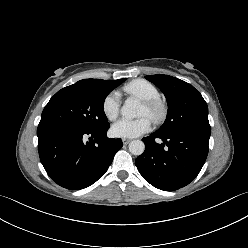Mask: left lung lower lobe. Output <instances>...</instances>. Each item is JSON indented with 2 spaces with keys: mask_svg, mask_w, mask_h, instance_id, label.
I'll return each mask as SVG.
<instances>
[{
  "mask_svg": "<svg viewBox=\"0 0 248 248\" xmlns=\"http://www.w3.org/2000/svg\"><path fill=\"white\" fill-rule=\"evenodd\" d=\"M210 131V125H198L167 136L154 132L143 138L145 151L135 161L139 173L151 185L164 191L188 185L205 163ZM156 138L163 143H156ZM164 145L167 148L164 149Z\"/></svg>",
  "mask_w": 248,
  "mask_h": 248,
  "instance_id": "0a47b994",
  "label": "left lung lower lobe"
}]
</instances>
